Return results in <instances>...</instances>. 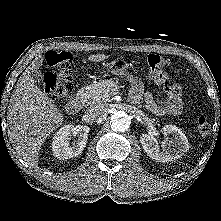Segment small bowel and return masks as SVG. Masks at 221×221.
Returning a JSON list of instances; mask_svg holds the SVG:
<instances>
[{"label": "small bowel", "mask_w": 221, "mask_h": 221, "mask_svg": "<svg viewBox=\"0 0 221 221\" xmlns=\"http://www.w3.org/2000/svg\"><path fill=\"white\" fill-rule=\"evenodd\" d=\"M127 81L131 85L130 100L133 103H139L144 100L146 108L156 115L172 114L177 115L182 110L181 88L178 84L165 86L166 98L159 100L154 98L150 92H144L143 83L131 74H127Z\"/></svg>", "instance_id": "obj_1"}]
</instances>
